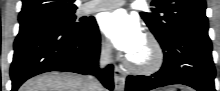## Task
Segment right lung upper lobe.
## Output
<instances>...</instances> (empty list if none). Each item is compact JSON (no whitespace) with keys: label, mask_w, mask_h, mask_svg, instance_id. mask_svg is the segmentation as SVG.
I'll list each match as a JSON object with an SVG mask.
<instances>
[{"label":"right lung upper lobe","mask_w":220,"mask_h":91,"mask_svg":"<svg viewBox=\"0 0 220 91\" xmlns=\"http://www.w3.org/2000/svg\"><path fill=\"white\" fill-rule=\"evenodd\" d=\"M74 0H23L19 22L40 19L48 14L67 11L75 6Z\"/></svg>","instance_id":"1"}]
</instances>
